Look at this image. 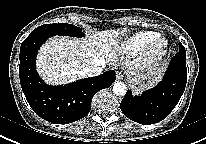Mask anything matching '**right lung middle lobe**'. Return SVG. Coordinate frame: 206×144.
<instances>
[{
  "label": "right lung middle lobe",
  "mask_w": 206,
  "mask_h": 144,
  "mask_svg": "<svg viewBox=\"0 0 206 144\" xmlns=\"http://www.w3.org/2000/svg\"><path fill=\"white\" fill-rule=\"evenodd\" d=\"M31 33L46 34L49 36H53V35H62V36L66 35V36H73V37L83 36L81 28L68 23L44 24L34 29Z\"/></svg>",
  "instance_id": "right-lung-middle-lobe-1"
}]
</instances>
